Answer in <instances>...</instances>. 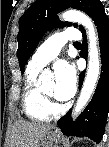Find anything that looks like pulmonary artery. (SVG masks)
I'll return each mask as SVG.
<instances>
[{
    "label": "pulmonary artery",
    "instance_id": "pulmonary-artery-1",
    "mask_svg": "<svg viewBox=\"0 0 109 147\" xmlns=\"http://www.w3.org/2000/svg\"><path fill=\"white\" fill-rule=\"evenodd\" d=\"M81 39L82 36L79 32L64 31L53 34L35 51L29 65L37 69H42L59 55L65 43L72 42L73 44H78Z\"/></svg>",
    "mask_w": 109,
    "mask_h": 147
}]
</instances>
